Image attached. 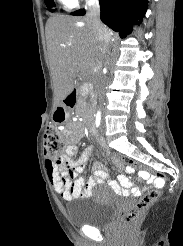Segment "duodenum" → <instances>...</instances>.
Listing matches in <instances>:
<instances>
[{
  "label": "duodenum",
  "mask_w": 183,
  "mask_h": 246,
  "mask_svg": "<svg viewBox=\"0 0 183 246\" xmlns=\"http://www.w3.org/2000/svg\"><path fill=\"white\" fill-rule=\"evenodd\" d=\"M79 88H74L65 98L66 109H75L78 104L79 98ZM96 143L100 144L101 148H106L107 144L105 143L104 136H97Z\"/></svg>",
  "instance_id": "obj_1"
}]
</instances>
